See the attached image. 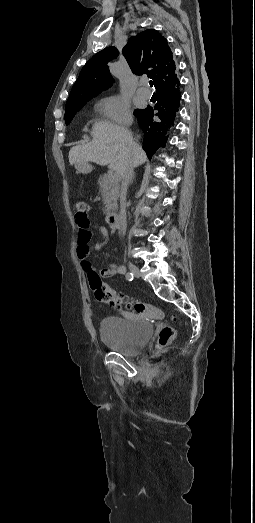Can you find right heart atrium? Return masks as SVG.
Instances as JSON below:
<instances>
[{
    "label": "right heart atrium",
    "mask_w": 255,
    "mask_h": 523,
    "mask_svg": "<svg viewBox=\"0 0 255 523\" xmlns=\"http://www.w3.org/2000/svg\"><path fill=\"white\" fill-rule=\"evenodd\" d=\"M99 106L108 119L109 125H127L131 122L130 107L122 98L118 96L105 97L100 101Z\"/></svg>",
    "instance_id": "obj_1"
}]
</instances>
